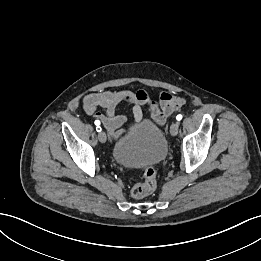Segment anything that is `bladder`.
Returning <instances> with one entry per match:
<instances>
[{
  "mask_svg": "<svg viewBox=\"0 0 261 261\" xmlns=\"http://www.w3.org/2000/svg\"><path fill=\"white\" fill-rule=\"evenodd\" d=\"M168 143L163 131L149 120L134 126L112 148L116 163L127 168H143L160 163L166 157Z\"/></svg>",
  "mask_w": 261,
  "mask_h": 261,
  "instance_id": "bladder-1",
  "label": "bladder"
}]
</instances>
